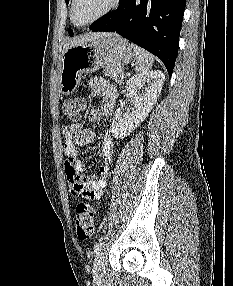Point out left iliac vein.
Returning <instances> with one entry per match:
<instances>
[{
  "label": "left iliac vein",
  "instance_id": "obj_1",
  "mask_svg": "<svg viewBox=\"0 0 233 286\" xmlns=\"http://www.w3.org/2000/svg\"><path fill=\"white\" fill-rule=\"evenodd\" d=\"M105 274L103 257L101 255H97L94 264H93V275L97 280H101Z\"/></svg>",
  "mask_w": 233,
  "mask_h": 286
}]
</instances>
